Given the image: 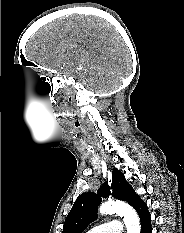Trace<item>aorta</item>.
Returning a JSON list of instances; mask_svg holds the SVG:
<instances>
[{"label":"aorta","instance_id":"aorta-1","mask_svg":"<svg viewBox=\"0 0 184 233\" xmlns=\"http://www.w3.org/2000/svg\"><path fill=\"white\" fill-rule=\"evenodd\" d=\"M101 214L117 213L123 217L127 233H140V221L135 210L122 201H111L101 204L99 208Z\"/></svg>","mask_w":184,"mask_h":233}]
</instances>
